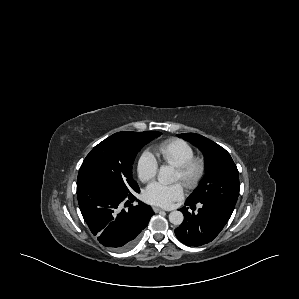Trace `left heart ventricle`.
<instances>
[{
  "mask_svg": "<svg viewBox=\"0 0 299 299\" xmlns=\"http://www.w3.org/2000/svg\"><path fill=\"white\" fill-rule=\"evenodd\" d=\"M175 179L176 180H179L180 179V175H179V173L176 171V173H175Z\"/></svg>",
  "mask_w": 299,
  "mask_h": 299,
  "instance_id": "b2bd125f",
  "label": "left heart ventricle"
}]
</instances>
